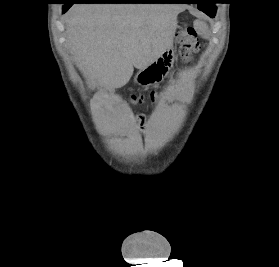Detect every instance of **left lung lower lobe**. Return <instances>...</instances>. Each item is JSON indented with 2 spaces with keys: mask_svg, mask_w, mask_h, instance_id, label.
I'll use <instances>...</instances> for the list:
<instances>
[{
  "mask_svg": "<svg viewBox=\"0 0 279 267\" xmlns=\"http://www.w3.org/2000/svg\"><path fill=\"white\" fill-rule=\"evenodd\" d=\"M177 3H197L198 9L210 17H214L216 13L215 0H181Z\"/></svg>",
  "mask_w": 279,
  "mask_h": 267,
  "instance_id": "obj_1",
  "label": "left lung lower lobe"
}]
</instances>
